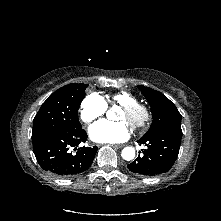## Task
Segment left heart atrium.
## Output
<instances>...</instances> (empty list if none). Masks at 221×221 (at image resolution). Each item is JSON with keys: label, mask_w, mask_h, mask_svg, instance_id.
I'll use <instances>...</instances> for the list:
<instances>
[{"label": "left heart atrium", "mask_w": 221, "mask_h": 221, "mask_svg": "<svg viewBox=\"0 0 221 221\" xmlns=\"http://www.w3.org/2000/svg\"><path fill=\"white\" fill-rule=\"evenodd\" d=\"M89 135L97 143H118L128 139L130 130L124 121L101 120L90 127Z\"/></svg>", "instance_id": "left-heart-atrium-1"}]
</instances>
